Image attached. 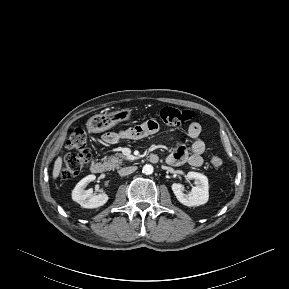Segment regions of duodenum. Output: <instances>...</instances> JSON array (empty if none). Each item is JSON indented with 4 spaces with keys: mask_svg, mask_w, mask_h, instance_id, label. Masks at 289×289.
Masks as SVG:
<instances>
[{
    "mask_svg": "<svg viewBox=\"0 0 289 289\" xmlns=\"http://www.w3.org/2000/svg\"><path fill=\"white\" fill-rule=\"evenodd\" d=\"M148 160L152 163H157L159 160V157L157 154H151L149 155ZM90 170L94 174H102L105 172L106 166L101 161H94L90 166Z\"/></svg>",
    "mask_w": 289,
    "mask_h": 289,
    "instance_id": "1",
    "label": "duodenum"
}]
</instances>
